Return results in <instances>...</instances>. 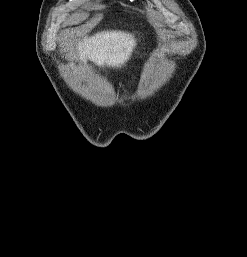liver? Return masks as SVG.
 <instances>
[{
  "instance_id": "6515ba94",
  "label": "liver",
  "mask_w": 247,
  "mask_h": 257,
  "mask_svg": "<svg viewBox=\"0 0 247 257\" xmlns=\"http://www.w3.org/2000/svg\"><path fill=\"white\" fill-rule=\"evenodd\" d=\"M136 46L134 35L123 31H102L84 38L76 47L77 57L89 59L98 66L121 67L130 58Z\"/></svg>"
}]
</instances>
